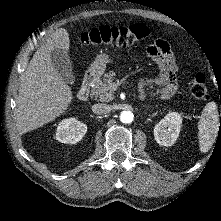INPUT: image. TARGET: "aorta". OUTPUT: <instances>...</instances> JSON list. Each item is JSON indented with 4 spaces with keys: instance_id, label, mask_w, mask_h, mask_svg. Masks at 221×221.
<instances>
[{
    "instance_id": "obj_1",
    "label": "aorta",
    "mask_w": 221,
    "mask_h": 221,
    "mask_svg": "<svg viewBox=\"0 0 221 221\" xmlns=\"http://www.w3.org/2000/svg\"><path fill=\"white\" fill-rule=\"evenodd\" d=\"M133 114L129 111H122L120 114V121L122 123H131L133 121Z\"/></svg>"
}]
</instances>
